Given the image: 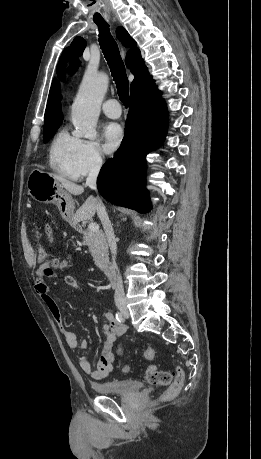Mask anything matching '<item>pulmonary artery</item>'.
Here are the masks:
<instances>
[{
    "label": "pulmonary artery",
    "mask_w": 261,
    "mask_h": 459,
    "mask_svg": "<svg viewBox=\"0 0 261 459\" xmlns=\"http://www.w3.org/2000/svg\"><path fill=\"white\" fill-rule=\"evenodd\" d=\"M102 110L106 116L117 119L121 116L122 110L116 99H108L102 105Z\"/></svg>",
    "instance_id": "e3ab8cb5"
}]
</instances>
